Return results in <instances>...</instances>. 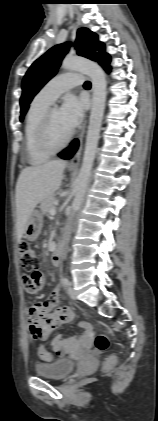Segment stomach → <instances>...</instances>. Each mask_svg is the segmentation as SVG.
Masks as SVG:
<instances>
[{
  "instance_id": "1",
  "label": "stomach",
  "mask_w": 158,
  "mask_h": 421,
  "mask_svg": "<svg viewBox=\"0 0 158 421\" xmlns=\"http://www.w3.org/2000/svg\"><path fill=\"white\" fill-rule=\"evenodd\" d=\"M43 224V214L39 210H33L26 224L25 238L35 241L39 236Z\"/></svg>"
}]
</instances>
